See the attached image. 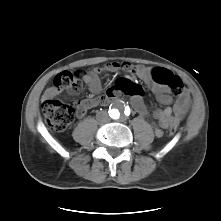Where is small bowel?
<instances>
[{
  "mask_svg": "<svg viewBox=\"0 0 221 221\" xmlns=\"http://www.w3.org/2000/svg\"><path fill=\"white\" fill-rule=\"evenodd\" d=\"M121 69H130V65H122L118 62H108L102 67H97L88 72L79 74L80 80L86 84L93 94V96L76 103V114L79 118L84 117L90 109L99 105H107L112 100L118 98L122 92L124 93L123 88L131 82L128 77L117 80L105 93H102V84L99 77L102 72H118ZM133 70L135 74L147 84L161 104L169 105L173 102V96L168 88L155 81L151 70L143 66H136ZM50 93H52L51 87L47 89L45 95H49ZM131 103L142 117H147L149 115L142 96H131ZM189 106L190 96L188 92L184 90L181 94H178L172 108L165 107L154 110L153 116L158 121V124H152L154 134L159 137L162 135L163 129L177 126L187 114Z\"/></svg>",
  "mask_w": 221,
  "mask_h": 221,
  "instance_id": "1",
  "label": "small bowel"
}]
</instances>
